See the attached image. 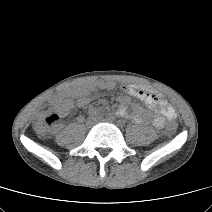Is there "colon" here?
Here are the masks:
<instances>
[{
	"label": "colon",
	"mask_w": 212,
	"mask_h": 212,
	"mask_svg": "<svg viewBox=\"0 0 212 212\" xmlns=\"http://www.w3.org/2000/svg\"><path fill=\"white\" fill-rule=\"evenodd\" d=\"M59 119L58 113L52 111L49 107H45L34 120L33 127L38 134L45 135L58 123ZM166 128L169 132H174L177 129V123L169 121Z\"/></svg>",
	"instance_id": "colon-1"
}]
</instances>
